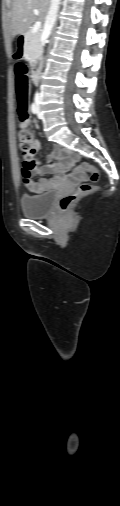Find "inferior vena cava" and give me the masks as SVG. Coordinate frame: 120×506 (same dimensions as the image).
<instances>
[{
	"mask_svg": "<svg viewBox=\"0 0 120 506\" xmlns=\"http://www.w3.org/2000/svg\"><path fill=\"white\" fill-rule=\"evenodd\" d=\"M59 4H60V0H51L50 1V7H49V11L47 13V16H46V19H45V23H44V36L45 38H48L51 31H52V28L56 22V19H57V13H58V10H59ZM39 94L36 93L35 95V100L38 101L39 100Z\"/></svg>",
	"mask_w": 120,
	"mask_h": 506,
	"instance_id": "602c4592",
	"label": "inferior vena cava"
}]
</instances>
